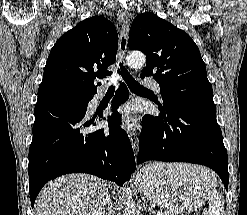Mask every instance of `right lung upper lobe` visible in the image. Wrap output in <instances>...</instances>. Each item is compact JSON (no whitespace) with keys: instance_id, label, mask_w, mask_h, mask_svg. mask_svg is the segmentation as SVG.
Returning a JSON list of instances; mask_svg holds the SVG:
<instances>
[{"instance_id":"right-lung-upper-lobe-1","label":"right lung upper lobe","mask_w":247,"mask_h":215,"mask_svg":"<svg viewBox=\"0 0 247 215\" xmlns=\"http://www.w3.org/2000/svg\"><path fill=\"white\" fill-rule=\"evenodd\" d=\"M117 48L118 34L110 21L96 16L80 22L51 49L40 87L96 93L94 80L112 74L107 68L115 62Z\"/></svg>"}]
</instances>
